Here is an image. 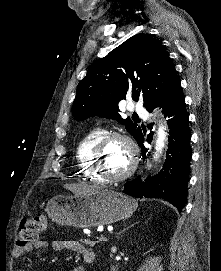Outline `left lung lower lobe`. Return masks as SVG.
I'll return each instance as SVG.
<instances>
[{
    "mask_svg": "<svg viewBox=\"0 0 221 271\" xmlns=\"http://www.w3.org/2000/svg\"><path fill=\"white\" fill-rule=\"evenodd\" d=\"M158 106L163 109L164 116L168 118L167 124L170 129L165 164L156 176L148 177L144 182L138 176L126 183L124 192L137 198H163L181 212L187 200L192 150L190 147L189 116L180 82L173 87ZM151 140L152 134H149L147 141L150 143ZM136 141L142 147V154L145 158L147 149L143 146L144 134L142 130L136 137Z\"/></svg>",
    "mask_w": 221,
    "mask_h": 271,
    "instance_id": "1",
    "label": "left lung lower lobe"
}]
</instances>
